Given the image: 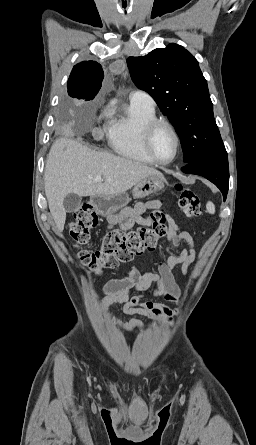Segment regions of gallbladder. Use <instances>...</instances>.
<instances>
[{
    "label": "gallbladder",
    "mask_w": 256,
    "mask_h": 445,
    "mask_svg": "<svg viewBox=\"0 0 256 445\" xmlns=\"http://www.w3.org/2000/svg\"><path fill=\"white\" fill-rule=\"evenodd\" d=\"M81 200L82 198L75 193H70L66 195L63 200V206L65 211L71 213L78 210L81 205Z\"/></svg>",
    "instance_id": "obj_1"
}]
</instances>
